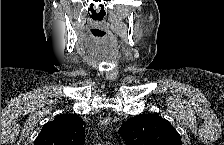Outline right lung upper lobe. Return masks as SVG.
Segmentation results:
<instances>
[{
    "instance_id": "right-lung-upper-lobe-1",
    "label": "right lung upper lobe",
    "mask_w": 224,
    "mask_h": 145,
    "mask_svg": "<svg viewBox=\"0 0 224 145\" xmlns=\"http://www.w3.org/2000/svg\"><path fill=\"white\" fill-rule=\"evenodd\" d=\"M84 141L83 120L75 114H62L43 126L34 145H82Z\"/></svg>"
}]
</instances>
